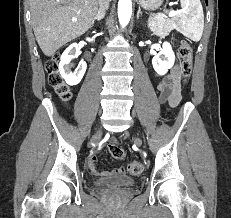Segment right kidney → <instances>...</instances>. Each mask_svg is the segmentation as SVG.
Returning <instances> with one entry per match:
<instances>
[{"instance_id":"ca27d5eb","label":"right kidney","mask_w":231,"mask_h":218,"mask_svg":"<svg viewBox=\"0 0 231 218\" xmlns=\"http://www.w3.org/2000/svg\"><path fill=\"white\" fill-rule=\"evenodd\" d=\"M91 41V39H87ZM79 45L77 43L71 44L62 54L61 60L59 63V71L63 79H65L66 83L70 86L77 85L84 76L86 71V62L82 61L79 64V67L73 73L71 71V61L79 55Z\"/></svg>"}]
</instances>
